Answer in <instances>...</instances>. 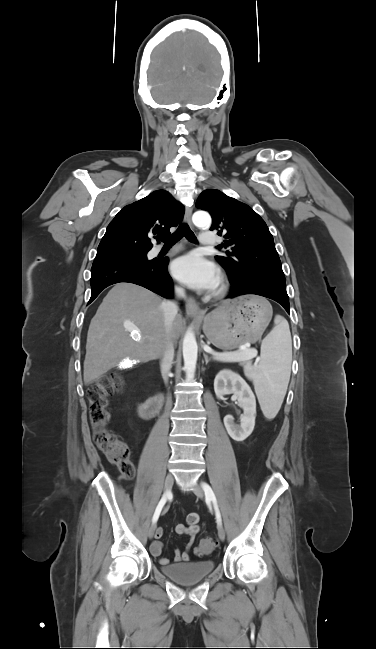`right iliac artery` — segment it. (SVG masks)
<instances>
[{
    "mask_svg": "<svg viewBox=\"0 0 376 649\" xmlns=\"http://www.w3.org/2000/svg\"><path fill=\"white\" fill-rule=\"evenodd\" d=\"M170 496H171V493H170V492H166V493L163 495V497L161 498V500L159 501V503H158V505H157V507H156V510H155V512H154L153 518H152V522H153V523H156V522H157V520H158V518H159V516H160L161 510H162L163 506L165 505L167 499H168Z\"/></svg>",
    "mask_w": 376,
    "mask_h": 649,
    "instance_id": "obj_1",
    "label": "right iliac artery"
}]
</instances>
